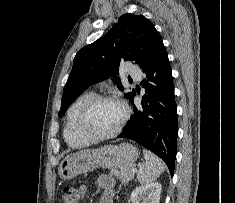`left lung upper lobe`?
Instances as JSON below:
<instances>
[{"mask_svg":"<svg viewBox=\"0 0 235 203\" xmlns=\"http://www.w3.org/2000/svg\"><path fill=\"white\" fill-rule=\"evenodd\" d=\"M160 39L154 25L144 16L122 15L106 35L76 54L64 86L59 117L89 86L118 74L121 59L135 62L141 68ZM113 82L120 90L124 89L119 78H113ZM134 93V90L125 93V97L130 99Z\"/></svg>","mask_w":235,"mask_h":203,"instance_id":"5c2ea615","label":"left lung upper lobe"}]
</instances>
